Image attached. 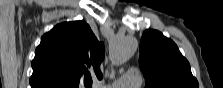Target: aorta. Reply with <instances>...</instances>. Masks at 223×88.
Returning a JSON list of instances; mask_svg holds the SVG:
<instances>
[{
	"label": "aorta",
	"instance_id": "762f6f07",
	"mask_svg": "<svg viewBox=\"0 0 223 88\" xmlns=\"http://www.w3.org/2000/svg\"><path fill=\"white\" fill-rule=\"evenodd\" d=\"M138 42L134 37L117 39L110 49V60L114 65H122L136 52Z\"/></svg>",
	"mask_w": 223,
	"mask_h": 88
}]
</instances>
